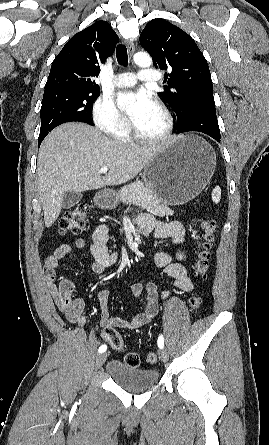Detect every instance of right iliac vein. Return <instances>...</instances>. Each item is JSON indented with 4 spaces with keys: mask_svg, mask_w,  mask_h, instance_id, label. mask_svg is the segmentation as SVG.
Listing matches in <instances>:
<instances>
[{
    "mask_svg": "<svg viewBox=\"0 0 269 445\" xmlns=\"http://www.w3.org/2000/svg\"><path fill=\"white\" fill-rule=\"evenodd\" d=\"M106 358H107V353H102V354L98 355L96 362H95L96 369L100 368L104 364V362L106 361Z\"/></svg>",
    "mask_w": 269,
    "mask_h": 445,
    "instance_id": "1",
    "label": "right iliac vein"
}]
</instances>
